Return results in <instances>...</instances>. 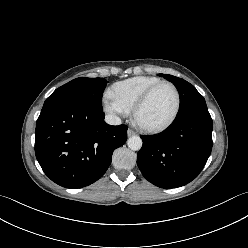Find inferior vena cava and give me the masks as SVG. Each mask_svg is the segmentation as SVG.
Here are the masks:
<instances>
[{
	"instance_id": "602c4592",
	"label": "inferior vena cava",
	"mask_w": 248,
	"mask_h": 248,
	"mask_svg": "<svg viewBox=\"0 0 248 248\" xmlns=\"http://www.w3.org/2000/svg\"><path fill=\"white\" fill-rule=\"evenodd\" d=\"M105 122L110 125H120L121 119L113 114H108L105 116Z\"/></svg>"
}]
</instances>
